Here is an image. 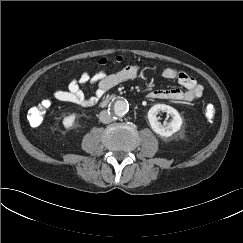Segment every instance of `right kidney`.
Listing matches in <instances>:
<instances>
[{"mask_svg": "<svg viewBox=\"0 0 243 243\" xmlns=\"http://www.w3.org/2000/svg\"><path fill=\"white\" fill-rule=\"evenodd\" d=\"M75 118H76V115L75 114H71L69 116H66L62 123H63V126L66 128V129H69L70 127L73 126L74 124V121H75Z\"/></svg>", "mask_w": 243, "mask_h": 243, "instance_id": "right-kidney-1", "label": "right kidney"}]
</instances>
